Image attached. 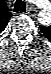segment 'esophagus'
<instances>
[{
    "mask_svg": "<svg viewBox=\"0 0 51 74\" xmlns=\"http://www.w3.org/2000/svg\"><path fill=\"white\" fill-rule=\"evenodd\" d=\"M27 13L34 16L37 13V11L34 8H29L27 10Z\"/></svg>",
    "mask_w": 51,
    "mask_h": 74,
    "instance_id": "esophagus-1",
    "label": "esophagus"
}]
</instances>
